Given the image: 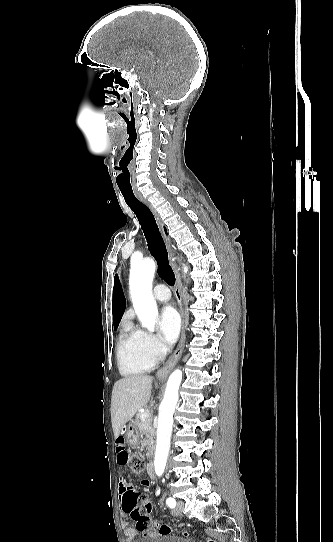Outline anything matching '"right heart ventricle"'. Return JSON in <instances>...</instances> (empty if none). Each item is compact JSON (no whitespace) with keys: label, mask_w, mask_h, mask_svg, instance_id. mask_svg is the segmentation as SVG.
Instances as JSON below:
<instances>
[{"label":"right heart ventricle","mask_w":333,"mask_h":542,"mask_svg":"<svg viewBox=\"0 0 333 542\" xmlns=\"http://www.w3.org/2000/svg\"><path fill=\"white\" fill-rule=\"evenodd\" d=\"M117 353L121 372L125 375L148 372L157 363V355L145 346L139 331L131 326L121 333Z\"/></svg>","instance_id":"e07e8e85"}]
</instances>
